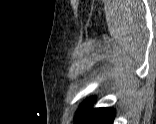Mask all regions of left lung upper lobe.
Returning <instances> with one entry per match:
<instances>
[{
	"label": "left lung upper lobe",
	"mask_w": 156,
	"mask_h": 124,
	"mask_svg": "<svg viewBox=\"0 0 156 124\" xmlns=\"http://www.w3.org/2000/svg\"><path fill=\"white\" fill-rule=\"evenodd\" d=\"M94 98L87 99L85 102L82 103L81 107L76 113V124H79V122L84 118L88 110L90 109L92 103L94 102Z\"/></svg>",
	"instance_id": "left-lung-upper-lobe-1"
}]
</instances>
